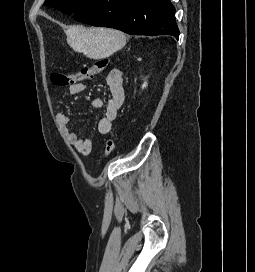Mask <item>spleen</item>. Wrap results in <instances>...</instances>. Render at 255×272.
Here are the masks:
<instances>
[{
	"label": "spleen",
	"instance_id": "1",
	"mask_svg": "<svg viewBox=\"0 0 255 272\" xmlns=\"http://www.w3.org/2000/svg\"><path fill=\"white\" fill-rule=\"evenodd\" d=\"M66 34L75 51L83 52L92 59L109 57L126 44L124 33L115 29L74 25L67 29Z\"/></svg>",
	"mask_w": 255,
	"mask_h": 272
}]
</instances>
